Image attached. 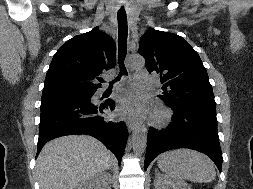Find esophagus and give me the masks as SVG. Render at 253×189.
Wrapping results in <instances>:
<instances>
[{
	"mask_svg": "<svg viewBox=\"0 0 253 189\" xmlns=\"http://www.w3.org/2000/svg\"><path fill=\"white\" fill-rule=\"evenodd\" d=\"M136 124L132 121L127 123V128L129 131H132L135 128Z\"/></svg>",
	"mask_w": 253,
	"mask_h": 189,
	"instance_id": "34e87169",
	"label": "esophagus"
}]
</instances>
